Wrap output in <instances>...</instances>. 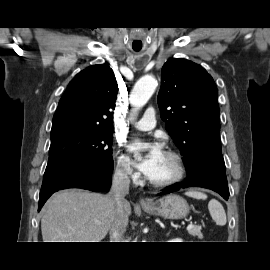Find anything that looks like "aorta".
<instances>
[{"label": "aorta", "instance_id": "aorta-1", "mask_svg": "<svg viewBox=\"0 0 270 270\" xmlns=\"http://www.w3.org/2000/svg\"><path fill=\"white\" fill-rule=\"evenodd\" d=\"M156 87L157 80L151 75L143 76L136 82L130 94V102L134 107L132 116L147 103Z\"/></svg>", "mask_w": 270, "mask_h": 270}]
</instances>
